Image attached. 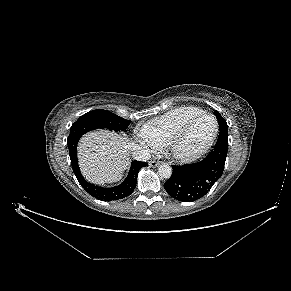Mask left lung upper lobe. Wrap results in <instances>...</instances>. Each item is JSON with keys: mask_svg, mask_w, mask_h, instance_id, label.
Instances as JSON below:
<instances>
[{"mask_svg": "<svg viewBox=\"0 0 291 291\" xmlns=\"http://www.w3.org/2000/svg\"><path fill=\"white\" fill-rule=\"evenodd\" d=\"M214 113L218 119L220 133H224L225 135H227V128L228 127H227V123H226L225 119L219 114V112L217 110L214 111Z\"/></svg>", "mask_w": 291, "mask_h": 291, "instance_id": "obj_1", "label": "left lung upper lobe"}]
</instances>
